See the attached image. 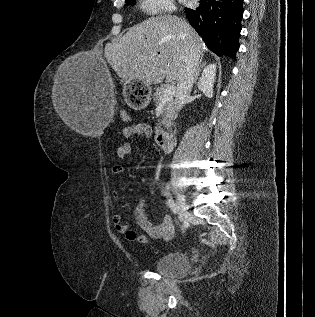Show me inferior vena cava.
<instances>
[{"mask_svg": "<svg viewBox=\"0 0 315 317\" xmlns=\"http://www.w3.org/2000/svg\"><path fill=\"white\" fill-rule=\"evenodd\" d=\"M199 55L195 54L191 48L187 49L185 56V66L181 76L178 79L177 90L175 95V108L179 111L188 99L195 75L199 65Z\"/></svg>", "mask_w": 315, "mask_h": 317, "instance_id": "inferior-vena-cava-1", "label": "inferior vena cava"}]
</instances>
